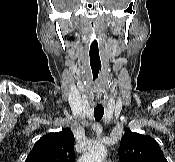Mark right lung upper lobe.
Returning a JSON list of instances; mask_svg holds the SVG:
<instances>
[{"instance_id": "cb5924a9", "label": "right lung upper lobe", "mask_w": 175, "mask_h": 162, "mask_svg": "<svg viewBox=\"0 0 175 162\" xmlns=\"http://www.w3.org/2000/svg\"><path fill=\"white\" fill-rule=\"evenodd\" d=\"M74 140L70 129L46 134L34 144L25 162H75Z\"/></svg>"}]
</instances>
